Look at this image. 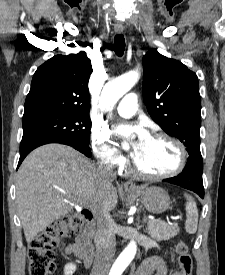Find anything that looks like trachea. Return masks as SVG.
<instances>
[{
    "label": "trachea",
    "mask_w": 225,
    "mask_h": 275,
    "mask_svg": "<svg viewBox=\"0 0 225 275\" xmlns=\"http://www.w3.org/2000/svg\"><path fill=\"white\" fill-rule=\"evenodd\" d=\"M125 50V39L122 34H118L114 38V51L117 56L121 57Z\"/></svg>",
    "instance_id": "obj_1"
}]
</instances>
